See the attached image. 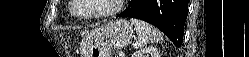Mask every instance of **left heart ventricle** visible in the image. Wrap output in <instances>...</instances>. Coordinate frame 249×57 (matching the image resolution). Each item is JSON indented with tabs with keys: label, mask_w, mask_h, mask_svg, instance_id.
<instances>
[{
	"label": "left heart ventricle",
	"mask_w": 249,
	"mask_h": 57,
	"mask_svg": "<svg viewBox=\"0 0 249 57\" xmlns=\"http://www.w3.org/2000/svg\"><path fill=\"white\" fill-rule=\"evenodd\" d=\"M115 0H79L76 13L81 16L107 11L114 6Z\"/></svg>",
	"instance_id": "b2bd125f"
}]
</instances>
